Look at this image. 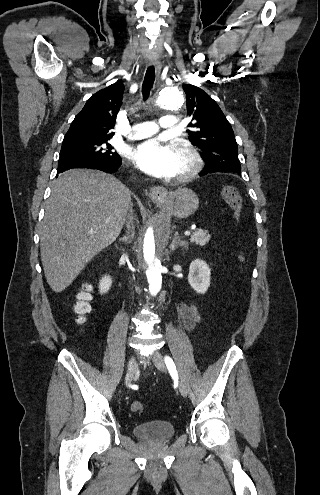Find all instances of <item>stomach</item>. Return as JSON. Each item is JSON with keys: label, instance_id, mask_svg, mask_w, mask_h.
I'll list each match as a JSON object with an SVG mask.
<instances>
[{"label": "stomach", "instance_id": "stomach-1", "mask_svg": "<svg viewBox=\"0 0 320 495\" xmlns=\"http://www.w3.org/2000/svg\"><path fill=\"white\" fill-rule=\"evenodd\" d=\"M156 204L182 219L191 216L198 209L199 199L192 190L180 188L173 193L166 194L164 199Z\"/></svg>", "mask_w": 320, "mask_h": 495}]
</instances>
